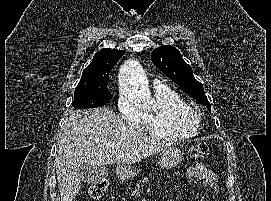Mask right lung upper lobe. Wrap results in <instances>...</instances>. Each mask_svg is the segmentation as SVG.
Returning a JSON list of instances; mask_svg holds the SVG:
<instances>
[{
	"label": "right lung upper lobe",
	"mask_w": 271,
	"mask_h": 201,
	"mask_svg": "<svg viewBox=\"0 0 271 201\" xmlns=\"http://www.w3.org/2000/svg\"><path fill=\"white\" fill-rule=\"evenodd\" d=\"M124 50L105 48L95 53L93 61L83 71L81 78L109 75L117 61L124 55Z\"/></svg>",
	"instance_id": "right-lung-upper-lobe-1"
}]
</instances>
